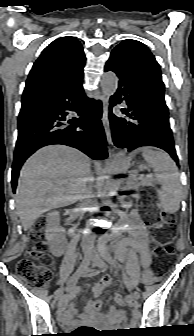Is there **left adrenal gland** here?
<instances>
[{
	"label": "left adrenal gland",
	"mask_w": 194,
	"mask_h": 336,
	"mask_svg": "<svg viewBox=\"0 0 194 336\" xmlns=\"http://www.w3.org/2000/svg\"><path fill=\"white\" fill-rule=\"evenodd\" d=\"M136 177L133 175V174H130V181H129V184H134V179H135Z\"/></svg>",
	"instance_id": "obj_1"
}]
</instances>
